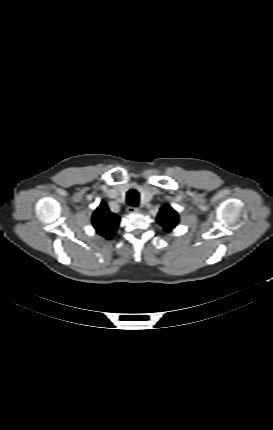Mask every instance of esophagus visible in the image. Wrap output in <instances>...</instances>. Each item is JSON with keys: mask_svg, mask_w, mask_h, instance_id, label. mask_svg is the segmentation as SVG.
Instances as JSON below:
<instances>
[{"mask_svg": "<svg viewBox=\"0 0 273 430\" xmlns=\"http://www.w3.org/2000/svg\"><path fill=\"white\" fill-rule=\"evenodd\" d=\"M139 211H140V209L138 207L129 206L127 208V212L130 213V214L137 213Z\"/></svg>", "mask_w": 273, "mask_h": 430, "instance_id": "obj_1", "label": "esophagus"}]
</instances>
